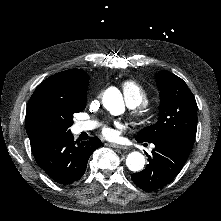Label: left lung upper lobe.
Wrapping results in <instances>:
<instances>
[{
	"instance_id": "left-lung-upper-lobe-1",
	"label": "left lung upper lobe",
	"mask_w": 221,
	"mask_h": 221,
	"mask_svg": "<svg viewBox=\"0 0 221 221\" xmlns=\"http://www.w3.org/2000/svg\"><path fill=\"white\" fill-rule=\"evenodd\" d=\"M156 83L161 98L158 122L143 128L136 139L168 140L190 153L197 130L195 97L181 78L168 71H160Z\"/></svg>"
}]
</instances>
